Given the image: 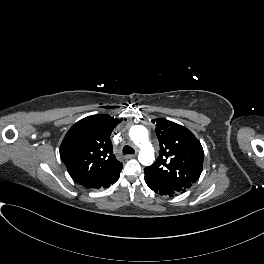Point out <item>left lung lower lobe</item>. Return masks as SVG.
<instances>
[{
  "mask_svg": "<svg viewBox=\"0 0 264 264\" xmlns=\"http://www.w3.org/2000/svg\"><path fill=\"white\" fill-rule=\"evenodd\" d=\"M145 182L150 187L151 190H153L155 193H158L160 195H165V196H174L178 194L177 192L173 191L172 189H169L167 187H164L163 185L145 178Z\"/></svg>",
  "mask_w": 264,
  "mask_h": 264,
  "instance_id": "left-lung-lower-lobe-1",
  "label": "left lung lower lobe"
}]
</instances>
